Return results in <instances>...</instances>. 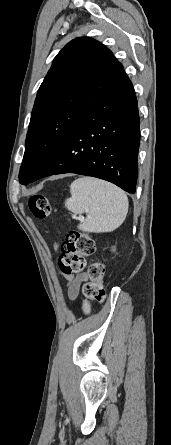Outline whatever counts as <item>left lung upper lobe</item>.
<instances>
[{"mask_svg": "<svg viewBox=\"0 0 171 445\" xmlns=\"http://www.w3.org/2000/svg\"><path fill=\"white\" fill-rule=\"evenodd\" d=\"M127 80L121 63L98 41L80 37L66 44L37 93L20 183L36 174L89 108Z\"/></svg>", "mask_w": 171, "mask_h": 445, "instance_id": "left-lung-upper-lobe-1", "label": "left lung upper lobe"}]
</instances>
